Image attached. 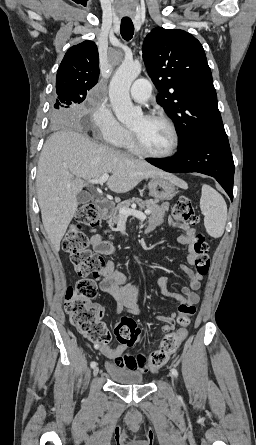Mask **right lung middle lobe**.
Wrapping results in <instances>:
<instances>
[{
	"label": "right lung middle lobe",
	"mask_w": 256,
	"mask_h": 445,
	"mask_svg": "<svg viewBox=\"0 0 256 445\" xmlns=\"http://www.w3.org/2000/svg\"><path fill=\"white\" fill-rule=\"evenodd\" d=\"M57 100L51 112V120L55 123H65L71 118L70 106L81 103L85 98L74 95L71 91L57 92Z\"/></svg>",
	"instance_id": "obj_1"
}]
</instances>
